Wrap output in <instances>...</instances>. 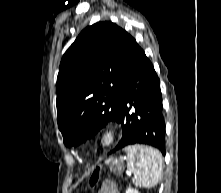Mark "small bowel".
<instances>
[{"mask_svg":"<svg viewBox=\"0 0 221 193\" xmlns=\"http://www.w3.org/2000/svg\"><path fill=\"white\" fill-rule=\"evenodd\" d=\"M98 193H119L117 187L110 182H106L103 186L99 189Z\"/></svg>","mask_w":221,"mask_h":193,"instance_id":"obj_1","label":"small bowel"}]
</instances>
